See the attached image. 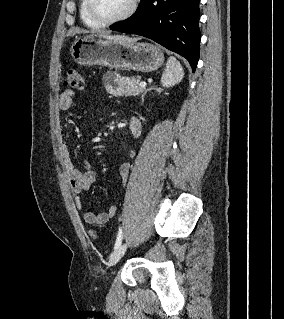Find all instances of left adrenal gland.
Returning <instances> with one entry per match:
<instances>
[{"label": "left adrenal gland", "mask_w": 284, "mask_h": 319, "mask_svg": "<svg viewBox=\"0 0 284 319\" xmlns=\"http://www.w3.org/2000/svg\"><path fill=\"white\" fill-rule=\"evenodd\" d=\"M153 89H156V90H157V88H155V87H150V88L146 89V90L142 93V95H141V103L144 102V97H145L146 93H147L148 91L153 90Z\"/></svg>", "instance_id": "a2214340"}]
</instances>
